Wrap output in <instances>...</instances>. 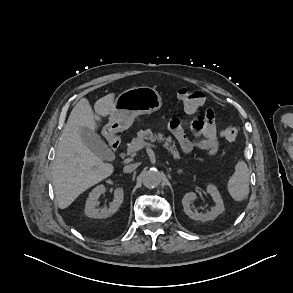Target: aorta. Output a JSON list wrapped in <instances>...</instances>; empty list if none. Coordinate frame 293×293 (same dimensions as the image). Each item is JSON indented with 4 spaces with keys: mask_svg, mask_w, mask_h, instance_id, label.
<instances>
[{
    "mask_svg": "<svg viewBox=\"0 0 293 293\" xmlns=\"http://www.w3.org/2000/svg\"><path fill=\"white\" fill-rule=\"evenodd\" d=\"M161 181L162 173L155 168H150L142 173V182L147 188H155L159 186Z\"/></svg>",
    "mask_w": 293,
    "mask_h": 293,
    "instance_id": "1",
    "label": "aorta"
}]
</instances>
